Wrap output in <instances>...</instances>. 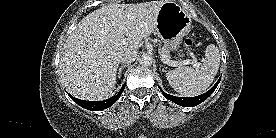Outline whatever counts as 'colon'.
<instances>
[{"instance_id": "5ec220e1", "label": "colon", "mask_w": 276, "mask_h": 138, "mask_svg": "<svg viewBox=\"0 0 276 138\" xmlns=\"http://www.w3.org/2000/svg\"><path fill=\"white\" fill-rule=\"evenodd\" d=\"M193 45L192 40L186 39L184 42L183 50L180 52V56L184 55Z\"/></svg>"}]
</instances>
